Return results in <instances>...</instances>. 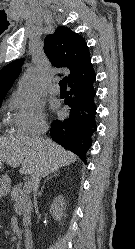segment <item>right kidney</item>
Wrapping results in <instances>:
<instances>
[{
    "label": "right kidney",
    "instance_id": "ca27d5eb",
    "mask_svg": "<svg viewBox=\"0 0 135 249\" xmlns=\"http://www.w3.org/2000/svg\"><path fill=\"white\" fill-rule=\"evenodd\" d=\"M65 202L63 196H58L50 206V213L57 221H61L64 216Z\"/></svg>",
    "mask_w": 135,
    "mask_h": 249
}]
</instances>
